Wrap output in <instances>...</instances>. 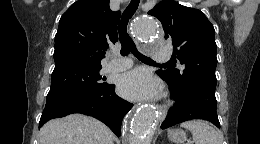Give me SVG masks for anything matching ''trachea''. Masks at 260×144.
Returning <instances> with one entry per match:
<instances>
[{
	"instance_id": "trachea-1",
	"label": "trachea",
	"mask_w": 260,
	"mask_h": 144,
	"mask_svg": "<svg viewBox=\"0 0 260 144\" xmlns=\"http://www.w3.org/2000/svg\"><path fill=\"white\" fill-rule=\"evenodd\" d=\"M140 0H131L130 4L128 7L125 9L123 12L121 21L119 22L118 25V32H119V38H120V43H121V55L126 56L130 52L137 57L139 60L145 62V63H150V64H156L151 58L141 54L129 34L127 33V25L129 19L132 18L133 14L136 12L138 6H139ZM171 63L167 62L166 64Z\"/></svg>"
}]
</instances>
